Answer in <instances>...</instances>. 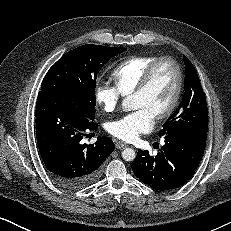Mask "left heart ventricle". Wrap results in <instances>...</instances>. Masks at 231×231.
<instances>
[{"label":"left heart ventricle","mask_w":231,"mask_h":231,"mask_svg":"<svg viewBox=\"0 0 231 231\" xmlns=\"http://www.w3.org/2000/svg\"><path fill=\"white\" fill-rule=\"evenodd\" d=\"M176 85V73L169 62L160 63L151 78L147 89L132 96L134 108H147L154 116L170 102Z\"/></svg>","instance_id":"1"}]
</instances>
